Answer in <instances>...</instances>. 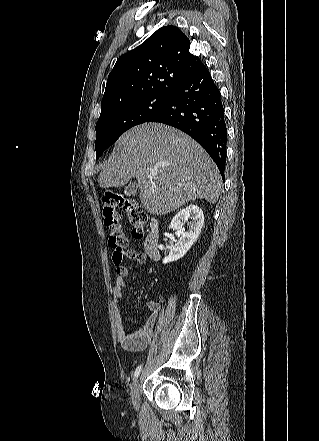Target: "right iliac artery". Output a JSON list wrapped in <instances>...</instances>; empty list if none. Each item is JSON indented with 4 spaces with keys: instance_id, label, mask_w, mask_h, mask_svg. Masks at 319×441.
Here are the masks:
<instances>
[{
    "instance_id": "82829eb1",
    "label": "right iliac artery",
    "mask_w": 319,
    "mask_h": 441,
    "mask_svg": "<svg viewBox=\"0 0 319 441\" xmlns=\"http://www.w3.org/2000/svg\"><path fill=\"white\" fill-rule=\"evenodd\" d=\"M141 370H142V365H139V366L135 369V372H134V378H138V376H139Z\"/></svg>"
}]
</instances>
